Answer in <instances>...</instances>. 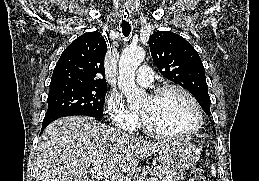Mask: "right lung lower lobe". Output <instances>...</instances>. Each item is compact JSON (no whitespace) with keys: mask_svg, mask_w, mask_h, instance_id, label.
Returning <instances> with one entry per match:
<instances>
[{"mask_svg":"<svg viewBox=\"0 0 259 181\" xmlns=\"http://www.w3.org/2000/svg\"><path fill=\"white\" fill-rule=\"evenodd\" d=\"M49 124H50V123L42 124L41 133L43 132V130H44ZM41 133H40V134H41Z\"/></svg>","mask_w":259,"mask_h":181,"instance_id":"98d812e1","label":"right lung lower lobe"}]
</instances>
